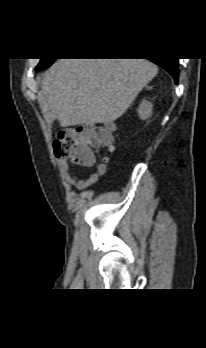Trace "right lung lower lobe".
I'll use <instances>...</instances> for the list:
<instances>
[{"mask_svg": "<svg viewBox=\"0 0 206 348\" xmlns=\"http://www.w3.org/2000/svg\"><path fill=\"white\" fill-rule=\"evenodd\" d=\"M151 61L161 66L166 71H168L170 75L174 78L175 83L178 82V76H179L178 59L162 58V59H154Z\"/></svg>", "mask_w": 206, "mask_h": 348, "instance_id": "right-lung-lower-lobe-1", "label": "right lung lower lobe"}]
</instances>
